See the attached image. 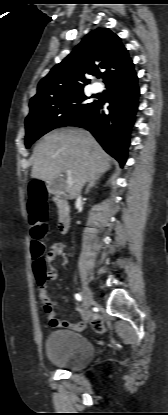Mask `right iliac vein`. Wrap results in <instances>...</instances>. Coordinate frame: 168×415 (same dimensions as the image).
<instances>
[{
  "instance_id": "1",
  "label": "right iliac vein",
  "mask_w": 168,
  "mask_h": 415,
  "mask_svg": "<svg viewBox=\"0 0 168 415\" xmlns=\"http://www.w3.org/2000/svg\"><path fill=\"white\" fill-rule=\"evenodd\" d=\"M82 296H83V302H84V314H83V316L86 319L88 317V310L91 307V305L93 304V297H92L91 290L86 285L83 287Z\"/></svg>"
}]
</instances>
